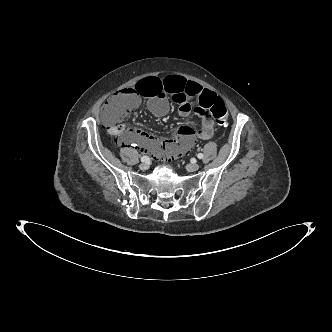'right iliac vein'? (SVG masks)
Instances as JSON below:
<instances>
[{"label":"right iliac vein","mask_w":332,"mask_h":332,"mask_svg":"<svg viewBox=\"0 0 332 332\" xmlns=\"http://www.w3.org/2000/svg\"><path fill=\"white\" fill-rule=\"evenodd\" d=\"M139 168H140L141 170H147V169L149 168V165H148L147 162H143V163H141V164L139 165Z\"/></svg>","instance_id":"obj_1"}]
</instances>
